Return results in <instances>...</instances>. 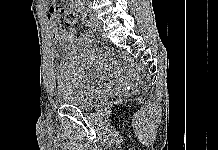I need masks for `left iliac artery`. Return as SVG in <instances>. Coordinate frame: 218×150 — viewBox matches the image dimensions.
Wrapping results in <instances>:
<instances>
[{
    "label": "left iliac artery",
    "instance_id": "44dca946",
    "mask_svg": "<svg viewBox=\"0 0 218 150\" xmlns=\"http://www.w3.org/2000/svg\"><path fill=\"white\" fill-rule=\"evenodd\" d=\"M92 22L93 21L91 19L89 21H86L85 22V27H88L89 30H92L93 29Z\"/></svg>",
    "mask_w": 218,
    "mask_h": 150
}]
</instances>
